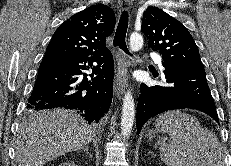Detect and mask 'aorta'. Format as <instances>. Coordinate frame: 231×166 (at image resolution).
Segmentation results:
<instances>
[{
	"label": "aorta",
	"mask_w": 231,
	"mask_h": 166,
	"mask_svg": "<svg viewBox=\"0 0 231 166\" xmlns=\"http://www.w3.org/2000/svg\"><path fill=\"white\" fill-rule=\"evenodd\" d=\"M130 50L137 52L143 47V37L141 34L134 32L130 36L129 43ZM135 119V104L131 92L128 90L125 93L122 106V117H121V130L122 135L128 138L131 134Z\"/></svg>",
	"instance_id": "aorta-1"
}]
</instances>
